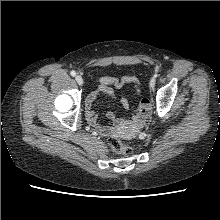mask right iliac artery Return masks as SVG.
<instances>
[{"label":"right iliac artery","mask_w":220,"mask_h":220,"mask_svg":"<svg viewBox=\"0 0 220 220\" xmlns=\"http://www.w3.org/2000/svg\"><path fill=\"white\" fill-rule=\"evenodd\" d=\"M70 74H71V76L74 77V76L76 75V72L72 70V71L70 72Z\"/></svg>","instance_id":"obj_1"}]
</instances>
